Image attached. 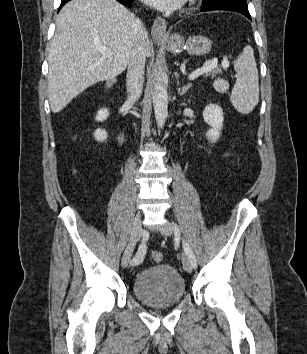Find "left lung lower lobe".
Returning <instances> with one entry per match:
<instances>
[{"label": "left lung lower lobe", "instance_id": "obj_1", "mask_svg": "<svg viewBox=\"0 0 307 354\" xmlns=\"http://www.w3.org/2000/svg\"><path fill=\"white\" fill-rule=\"evenodd\" d=\"M212 10H229L243 14L248 19L251 20L247 3L245 2H231V3H211L208 5H203L202 11H212Z\"/></svg>", "mask_w": 307, "mask_h": 354}]
</instances>
